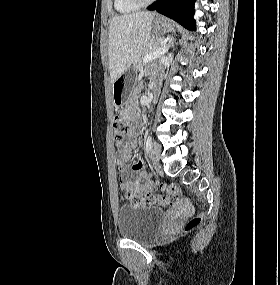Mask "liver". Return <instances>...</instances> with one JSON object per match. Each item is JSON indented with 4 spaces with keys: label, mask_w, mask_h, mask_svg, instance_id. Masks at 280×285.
<instances>
[{
    "label": "liver",
    "mask_w": 280,
    "mask_h": 285,
    "mask_svg": "<svg viewBox=\"0 0 280 285\" xmlns=\"http://www.w3.org/2000/svg\"><path fill=\"white\" fill-rule=\"evenodd\" d=\"M154 17V13L139 11L112 18L109 27L111 83L129 69L139 53L147 46Z\"/></svg>",
    "instance_id": "obj_1"
}]
</instances>
